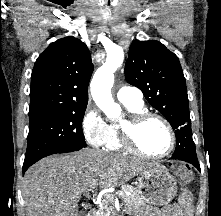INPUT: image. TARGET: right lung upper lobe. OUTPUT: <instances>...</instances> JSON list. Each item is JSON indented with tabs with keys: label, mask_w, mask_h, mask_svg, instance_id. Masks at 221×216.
<instances>
[{
	"label": "right lung upper lobe",
	"mask_w": 221,
	"mask_h": 216,
	"mask_svg": "<svg viewBox=\"0 0 221 216\" xmlns=\"http://www.w3.org/2000/svg\"><path fill=\"white\" fill-rule=\"evenodd\" d=\"M92 72L90 52L81 40L51 43L32 71L29 119L87 106Z\"/></svg>",
	"instance_id": "right-lung-upper-lobe-1"
}]
</instances>
